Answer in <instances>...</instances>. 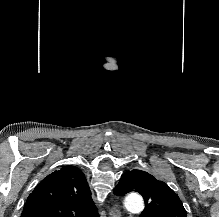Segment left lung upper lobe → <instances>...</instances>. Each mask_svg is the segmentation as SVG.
I'll return each instance as SVG.
<instances>
[{
    "mask_svg": "<svg viewBox=\"0 0 219 217\" xmlns=\"http://www.w3.org/2000/svg\"><path fill=\"white\" fill-rule=\"evenodd\" d=\"M131 191L140 193L145 200L140 217H187L177 194L165 182L145 171L132 170L124 174L114 194L122 196Z\"/></svg>",
    "mask_w": 219,
    "mask_h": 217,
    "instance_id": "1",
    "label": "left lung upper lobe"
}]
</instances>
